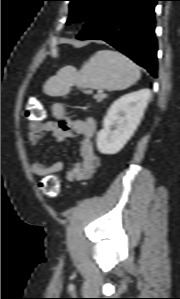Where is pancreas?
<instances>
[{"mask_svg":"<svg viewBox=\"0 0 180 299\" xmlns=\"http://www.w3.org/2000/svg\"><path fill=\"white\" fill-rule=\"evenodd\" d=\"M106 94H103V93H99L98 95H96V99L98 100V101H101L102 99H104V98H106Z\"/></svg>","mask_w":180,"mask_h":299,"instance_id":"pancreas-1","label":"pancreas"}]
</instances>
